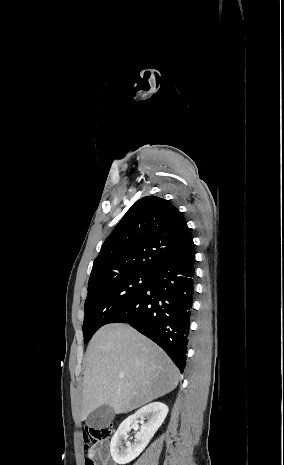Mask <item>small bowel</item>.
Listing matches in <instances>:
<instances>
[{
    "mask_svg": "<svg viewBox=\"0 0 284 465\" xmlns=\"http://www.w3.org/2000/svg\"><path fill=\"white\" fill-rule=\"evenodd\" d=\"M97 459H98L99 465H109L110 457L108 455V449L105 448L104 446H101L97 454Z\"/></svg>",
    "mask_w": 284,
    "mask_h": 465,
    "instance_id": "small-bowel-1",
    "label": "small bowel"
}]
</instances>
